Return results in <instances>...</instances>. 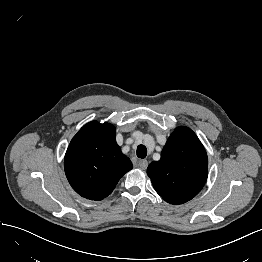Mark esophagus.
I'll return each mask as SVG.
<instances>
[{
	"label": "esophagus",
	"instance_id": "34e87169",
	"mask_svg": "<svg viewBox=\"0 0 262 262\" xmlns=\"http://www.w3.org/2000/svg\"><path fill=\"white\" fill-rule=\"evenodd\" d=\"M137 165H138V167H140L141 169L144 170L148 166V161L147 160H138Z\"/></svg>",
	"mask_w": 262,
	"mask_h": 262
}]
</instances>
